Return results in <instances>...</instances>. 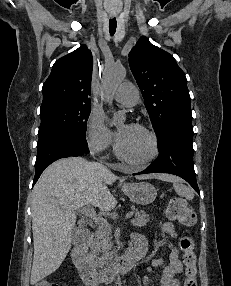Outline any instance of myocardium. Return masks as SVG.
Here are the masks:
<instances>
[{"label":"myocardium","mask_w":231,"mask_h":286,"mask_svg":"<svg viewBox=\"0 0 231 286\" xmlns=\"http://www.w3.org/2000/svg\"><path fill=\"white\" fill-rule=\"evenodd\" d=\"M132 126L141 129L142 131H144L145 133H147L149 135V137L151 138L152 141V152L151 154L140 161H135L132 160L130 158H128L121 150L120 145L118 140L116 141L115 144V153L118 156V158H120L122 161L126 162L127 164L134 166V167H144L146 165H148L149 163H151L159 154V140L158 137L156 135V133L149 128L148 126L141 124V123H133Z\"/></svg>","instance_id":"f54148a6"}]
</instances>
